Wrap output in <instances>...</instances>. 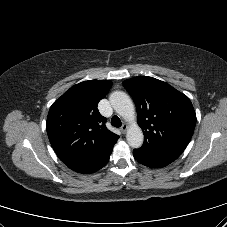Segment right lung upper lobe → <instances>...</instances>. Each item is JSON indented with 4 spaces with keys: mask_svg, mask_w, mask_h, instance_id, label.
<instances>
[{
    "mask_svg": "<svg viewBox=\"0 0 227 227\" xmlns=\"http://www.w3.org/2000/svg\"><path fill=\"white\" fill-rule=\"evenodd\" d=\"M112 86L110 80L74 85L50 107L46 130L57 156L66 164L83 162L115 143L97 105Z\"/></svg>",
    "mask_w": 227,
    "mask_h": 227,
    "instance_id": "cb5924a9",
    "label": "right lung upper lobe"
}]
</instances>
